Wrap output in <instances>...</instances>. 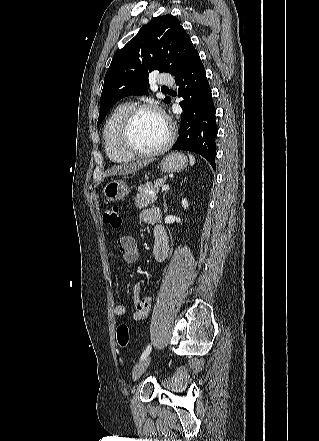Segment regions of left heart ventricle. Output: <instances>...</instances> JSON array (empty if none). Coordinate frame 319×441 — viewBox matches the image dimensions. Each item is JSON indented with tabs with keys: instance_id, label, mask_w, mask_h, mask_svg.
<instances>
[{
	"instance_id": "b2bd125f",
	"label": "left heart ventricle",
	"mask_w": 319,
	"mask_h": 441,
	"mask_svg": "<svg viewBox=\"0 0 319 441\" xmlns=\"http://www.w3.org/2000/svg\"><path fill=\"white\" fill-rule=\"evenodd\" d=\"M167 125L157 113L144 111L137 115L130 130V141L138 149L151 151L167 137Z\"/></svg>"
}]
</instances>
